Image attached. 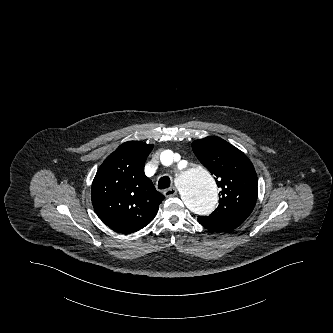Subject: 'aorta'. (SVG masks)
Listing matches in <instances>:
<instances>
[{
    "label": "aorta",
    "instance_id": "762f6f07",
    "mask_svg": "<svg viewBox=\"0 0 333 333\" xmlns=\"http://www.w3.org/2000/svg\"><path fill=\"white\" fill-rule=\"evenodd\" d=\"M173 152L165 150L162 161L173 159ZM178 189L185 206L197 216L212 213L218 203V192L214 178L206 169L188 161L185 171L179 175Z\"/></svg>",
    "mask_w": 333,
    "mask_h": 333
}]
</instances>
